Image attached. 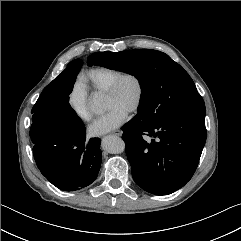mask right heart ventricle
Instances as JSON below:
<instances>
[{
    "label": "right heart ventricle",
    "mask_w": 241,
    "mask_h": 241,
    "mask_svg": "<svg viewBox=\"0 0 241 241\" xmlns=\"http://www.w3.org/2000/svg\"><path fill=\"white\" fill-rule=\"evenodd\" d=\"M122 72L107 66H94L82 73L85 87L93 93H104L111 82Z\"/></svg>",
    "instance_id": "obj_1"
}]
</instances>
